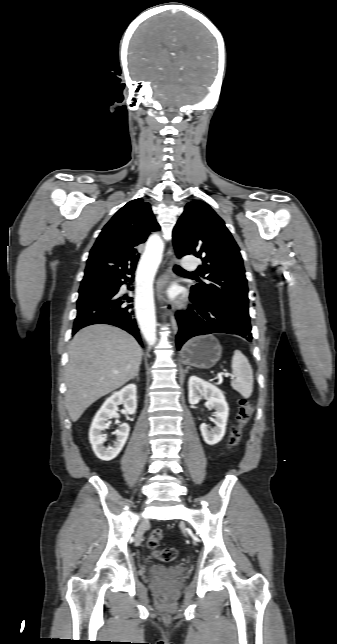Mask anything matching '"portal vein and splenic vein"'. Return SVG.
<instances>
[{"mask_svg": "<svg viewBox=\"0 0 337 644\" xmlns=\"http://www.w3.org/2000/svg\"><path fill=\"white\" fill-rule=\"evenodd\" d=\"M222 375H224L225 377H233V375L231 373H219L218 374L219 377H221Z\"/></svg>", "mask_w": 337, "mask_h": 644, "instance_id": "18ae733b", "label": "portal vein and splenic vein"}]
</instances>
